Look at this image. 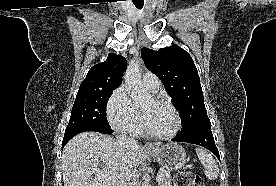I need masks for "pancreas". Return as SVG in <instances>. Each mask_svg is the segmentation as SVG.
Returning a JSON list of instances; mask_svg holds the SVG:
<instances>
[{
    "label": "pancreas",
    "mask_w": 276,
    "mask_h": 186,
    "mask_svg": "<svg viewBox=\"0 0 276 186\" xmlns=\"http://www.w3.org/2000/svg\"><path fill=\"white\" fill-rule=\"evenodd\" d=\"M158 173L162 174V179L159 182V186H172V179L169 171L161 170Z\"/></svg>",
    "instance_id": "cf45deb5"
}]
</instances>
